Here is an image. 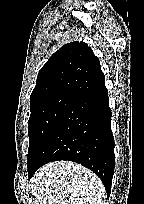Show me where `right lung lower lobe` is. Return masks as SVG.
Listing matches in <instances>:
<instances>
[{
    "label": "right lung lower lobe",
    "instance_id": "1",
    "mask_svg": "<svg viewBox=\"0 0 144 204\" xmlns=\"http://www.w3.org/2000/svg\"><path fill=\"white\" fill-rule=\"evenodd\" d=\"M56 160H69L89 168L110 195L115 156L104 82L75 96L28 167V177L42 165Z\"/></svg>",
    "mask_w": 144,
    "mask_h": 204
}]
</instances>
